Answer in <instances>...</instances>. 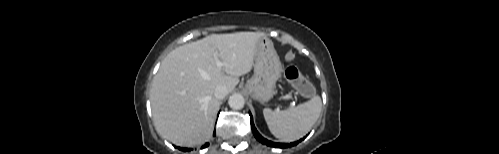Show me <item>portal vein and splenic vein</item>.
Instances as JSON below:
<instances>
[{"label": "portal vein and splenic vein", "instance_id": "18ae733b", "mask_svg": "<svg viewBox=\"0 0 499 154\" xmlns=\"http://www.w3.org/2000/svg\"><path fill=\"white\" fill-rule=\"evenodd\" d=\"M216 62L218 67H222V63L219 60H217Z\"/></svg>", "mask_w": 499, "mask_h": 154}]
</instances>
